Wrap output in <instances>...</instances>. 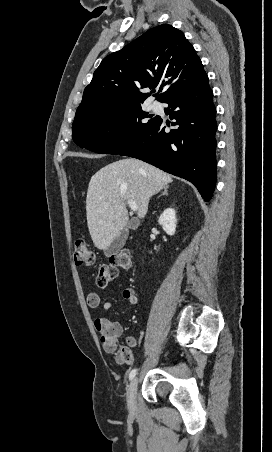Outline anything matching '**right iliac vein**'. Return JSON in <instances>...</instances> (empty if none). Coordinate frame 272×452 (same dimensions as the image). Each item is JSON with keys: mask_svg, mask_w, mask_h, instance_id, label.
Here are the masks:
<instances>
[{"mask_svg": "<svg viewBox=\"0 0 272 452\" xmlns=\"http://www.w3.org/2000/svg\"><path fill=\"white\" fill-rule=\"evenodd\" d=\"M137 388H138V378L135 377L132 379L127 393V404L129 411L132 414H135L137 411V405H136V394H137Z\"/></svg>", "mask_w": 272, "mask_h": 452, "instance_id": "obj_1", "label": "right iliac vein"}]
</instances>
